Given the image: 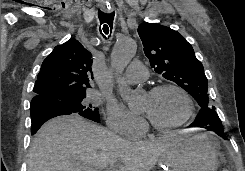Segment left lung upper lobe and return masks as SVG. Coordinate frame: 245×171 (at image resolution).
<instances>
[{"label":"left lung upper lobe","mask_w":245,"mask_h":171,"mask_svg":"<svg viewBox=\"0 0 245 171\" xmlns=\"http://www.w3.org/2000/svg\"><path fill=\"white\" fill-rule=\"evenodd\" d=\"M138 34L155 72L186 90L202 109L208 101V80L190 43L177 31L157 23H141Z\"/></svg>","instance_id":"1"}]
</instances>
